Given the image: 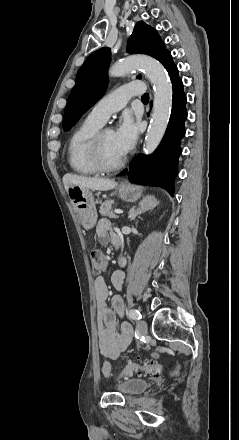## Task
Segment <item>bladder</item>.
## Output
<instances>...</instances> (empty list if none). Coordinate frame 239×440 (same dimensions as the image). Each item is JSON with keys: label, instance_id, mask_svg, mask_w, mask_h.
<instances>
[{"label": "bladder", "instance_id": "1", "mask_svg": "<svg viewBox=\"0 0 239 440\" xmlns=\"http://www.w3.org/2000/svg\"><path fill=\"white\" fill-rule=\"evenodd\" d=\"M149 387V383L145 379L130 378L117 383L114 387L115 391L125 395H136L143 393Z\"/></svg>", "mask_w": 239, "mask_h": 440}]
</instances>
